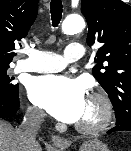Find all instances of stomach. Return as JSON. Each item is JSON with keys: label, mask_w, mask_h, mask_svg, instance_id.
Returning <instances> with one entry per match:
<instances>
[{"label": "stomach", "mask_w": 131, "mask_h": 151, "mask_svg": "<svg viewBox=\"0 0 131 151\" xmlns=\"http://www.w3.org/2000/svg\"><path fill=\"white\" fill-rule=\"evenodd\" d=\"M79 151H109V148L99 139L93 138L85 141Z\"/></svg>", "instance_id": "1"}]
</instances>
